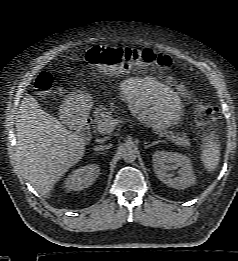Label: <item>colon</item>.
Returning <instances> with one entry per match:
<instances>
[{
  "label": "colon",
  "mask_w": 238,
  "mask_h": 261,
  "mask_svg": "<svg viewBox=\"0 0 238 261\" xmlns=\"http://www.w3.org/2000/svg\"><path fill=\"white\" fill-rule=\"evenodd\" d=\"M86 61L104 73L161 70L172 66V61L168 56L157 54L151 50H136L108 45L94 46L89 49L86 53ZM52 82V76L47 72H42L34 82V89L38 94L44 95L50 90ZM195 120L199 132L205 137L213 135L220 125L217 109L206 101L197 103Z\"/></svg>",
  "instance_id": "colon-1"
}]
</instances>
